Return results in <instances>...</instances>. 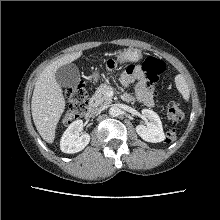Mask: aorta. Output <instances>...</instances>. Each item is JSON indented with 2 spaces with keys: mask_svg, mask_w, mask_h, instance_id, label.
Masks as SVG:
<instances>
[{
  "mask_svg": "<svg viewBox=\"0 0 220 220\" xmlns=\"http://www.w3.org/2000/svg\"><path fill=\"white\" fill-rule=\"evenodd\" d=\"M120 112L121 110L117 107V106H112L110 109H109V114L110 116L112 117H117L120 115Z\"/></svg>",
  "mask_w": 220,
  "mask_h": 220,
  "instance_id": "obj_1",
  "label": "aorta"
}]
</instances>
